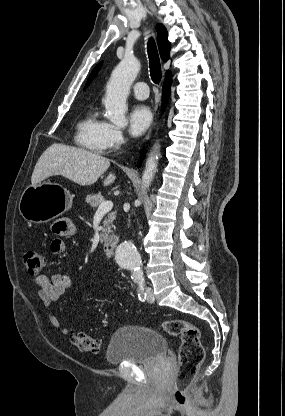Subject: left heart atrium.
<instances>
[{
    "label": "left heart atrium",
    "mask_w": 285,
    "mask_h": 416,
    "mask_svg": "<svg viewBox=\"0 0 285 416\" xmlns=\"http://www.w3.org/2000/svg\"><path fill=\"white\" fill-rule=\"evenodd\" d=\"M152 114L145 105H136L129 114L130 132L134 136L142 134L150 125Z\"/></svg>",
    "instance_id": "39dd6f15"
}]
</instances>
